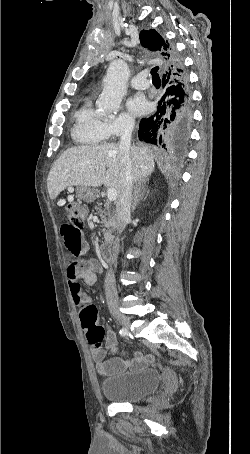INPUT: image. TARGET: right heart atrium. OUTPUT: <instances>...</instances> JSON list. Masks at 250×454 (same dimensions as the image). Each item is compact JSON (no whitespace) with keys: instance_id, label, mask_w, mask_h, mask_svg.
<instances>
[{"instance_id":"1","label":"right heart atrium","mask_w":250,"mask_h":454,"mask_svg":"<svg viewBox=\"0 0 250 454\" xmlns=\"http://www.w3.org/2000/svg\"><path fill=\"white\" fill-rule=\"evenodd\" d=\"M134 127V120L131 116L121 114L114 120L105 122V130L108 137H119L129 132Z\"/></svg>"}]
</instances>
